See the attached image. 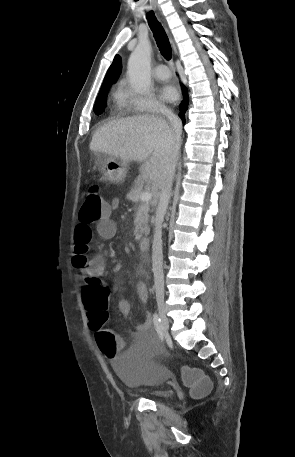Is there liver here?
Returning a JSON list of instances; mask_svg holds the SVG:
<instances>
[{
  "mask_svg": "<svg viewBox=\"0 0 295 457\" xmlns=\"http://www.w3.org/2000/svg\"><path fill=\"white\" fill-rule=\"evenodd\" d=\"M89 147L95 153L141 162L143 180L158 190L167 165L179 149V141L165 119L139 115L103 125L94 133Z\"/></svg>",
  "mask_w": 295,
  "mask_h": 457,
  "instance_id": "6515ba94",
  "label": "liver"
}]
</instances>
